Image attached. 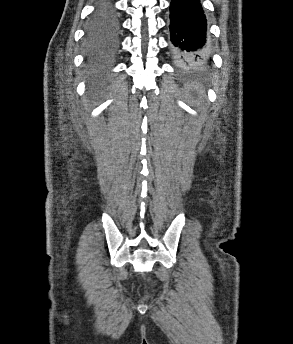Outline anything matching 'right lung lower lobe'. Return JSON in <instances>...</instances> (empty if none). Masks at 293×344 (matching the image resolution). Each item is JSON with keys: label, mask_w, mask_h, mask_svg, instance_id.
Here are the masks:
<instances>
[{"label": "right lung lower lobe", "mask_w": 293, "mask_h": 344, "mask_svg": "<svg viewBox=\"0 0 293 344\" xmlns=\"http://www.w3.org/2000/svg\"><path fill=\"white\" fill-rule=\"evenodd\" d=\"M117 31H118V23H117V19H116V27L115 29L112 31V41L110 42L109 44V47L113 46L115 44V41H116V36H117Z\"/></svg>", "instance_id": "right-lung-lower-lobe-1"}]
</instances>
